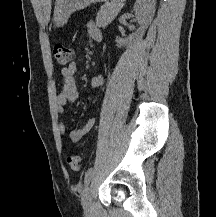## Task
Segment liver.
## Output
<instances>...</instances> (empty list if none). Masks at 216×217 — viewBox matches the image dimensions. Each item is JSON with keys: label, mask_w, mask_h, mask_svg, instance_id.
<instances>
[{"label": "liver", "mask_w": 216, "mask_h": 217, "mask_svg": "<svg viewBox=\"0 0 216 217\" xmlns=\"http://www.w3.org/2000/svg\"><path fill=\"white\" fill-rule=\"evenodd\" d=\"M41 2L45 6L47 15L49 17L51 13V0H41Z\"/></svg>", "instance_id": "obj_1"}]
</instances>
